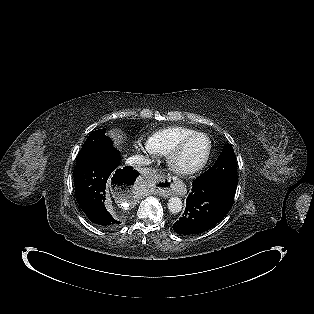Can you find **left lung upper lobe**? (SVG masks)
Returning <instances> with one entry per match:
<instances>
[{
  "label": "left lung upper lobe",
  "mask_w": 314,
  "mask_h": 314,
  "mask_svg": "<svg viewBox=\"0 0 314 314\" xmlns=\"http://www.w3.org/2000/svg\"><path fill=\"white\" fill-rule=\"evenodd\" d=\"M198 178L237 179L236 156L229 143L224 146L215 164Z\"/></svg>",
  "instance_id": "5c2ea615"
}]
</instances>
